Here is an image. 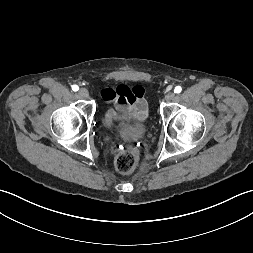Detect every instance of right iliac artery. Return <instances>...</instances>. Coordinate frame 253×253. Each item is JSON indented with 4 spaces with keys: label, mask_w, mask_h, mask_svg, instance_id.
Returning a JSON list of instances; mask_svg holds the SVG:
<instances>
[{
    "label": "right iliac artery",
    "mask_w": 253,
    "mask_h": 253,
    "mask_svg": "<svg viewBox=\"0 0 253 253\" xmlns=\"http://www.w3.org/2000/svg\"><path fill=\"white\" fill-rule=\"evenodd\" d=\"M78 89H79V87H78L77 85H73V86H72V90H73V91L76 92V91H78Z\"/></svg>",
    "instance_id": "1"
}]
</instances>
